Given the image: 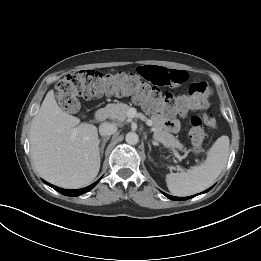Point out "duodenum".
Here are the masks:
<instances>
[{
  "mask_svg": "<svg viewBox=\"0 0 261 261\" xmlns=\"http://www.w3.org/2000/svg\"><path fill=\"white\" fill-rule=\"evenodd\" d=\"M107 118V110L106 109H99L95 113V119L97 121H104Z\"/></svg>",
  "mask_w": 261,
  "mask_h": 261,
  "instance_id": "1",
  "label": "duodenum"
}]
</instances>
